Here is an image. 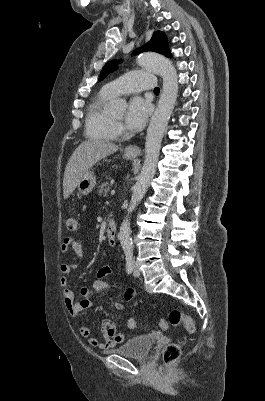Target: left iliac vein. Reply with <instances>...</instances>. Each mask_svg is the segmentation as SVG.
Masks as SVG:
<instances>
[{
    "label": "left iliac vein",
    "instance_id": "4c4485c4",
    "mask_svg": "<svg viewBox=\"0 0 265 401\" xmlns=\"http://www.w3.org/2000/svg\"><path fill=\"white\" fill-rule=\"evenodd\" d=\"M132 266H133V275L135 277H139L140 276V271L138 269L137 264L134 261H132Z\"/></svg>",
    "mask_w": 265,
    "mask_h": 401
}]
</instances>
